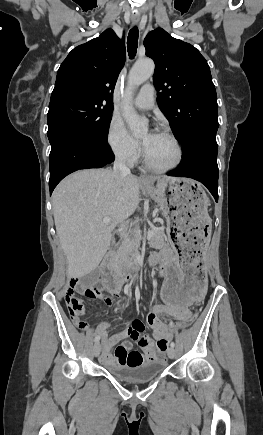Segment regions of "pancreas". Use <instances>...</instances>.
I'll use <instances>...</instances> for the list:
<instances>
[{
	"label": "pancreas",
	"instance_id": "1",
	"mask_svg": "<svg viewBox=\"0 0 263 435\" xmlns=\"http://www.w3.org/2000/svg\"><path fill=\"white\" fill-rule=\"evenodd\" d=\"M152 230H153V235L150 238L149 245L152 248L158 249L161 247V244L163 242L164 229L162 227H155L152 228ZM135 241L138 243V239ZM129 254H130V248L127 246V242H125L118 248L116 252L114 265L117 271L126 270L129 267V258H128Z\"/></svg>",
	"mask_w": 263,
	"mask_h": 435
}]
</instances>
